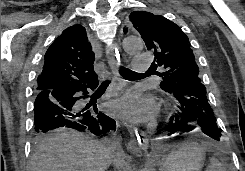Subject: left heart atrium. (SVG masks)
I'll return each mask as SVG.
<instances>
[{"mask_svg": "<svg viewBox=\"0 0 245 171\" xmlns=\"http://www.w3.org/2000/svg\"><path fill=\"white\" fill-rule=\"evenodd\" d=\"M113 108L120 115L135 122L147 121L156 112L154 99L137 89L127 91L113 103Z\"/></svg>", "mask_w": 245, "mask_h": 171, "instance_id": "39dd6f15", "label": "left heart atrium"}]
</instances>
